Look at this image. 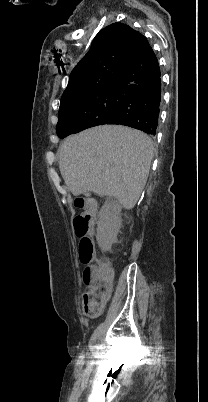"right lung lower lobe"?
I'll return each mask as SVG.
<instances>
[{"label": "right lung lower lobe", "mask_w": 208, "mask_h": 402, "mask_svg": "<svg viewBox=\"0 0 208 402\" xmlns=\"http://www.w3.org/2000/svg\"><path fill=\"white\" fill-rule=\"evenodd\" d=\"M118 105L110 113L59 123L57 134L64 138L102 124L129 126L155 135L160 113L161 78L158 60L146 40L113 80Z\"/></svg>", "instance_id": "98d812e1"}]
</instances>
